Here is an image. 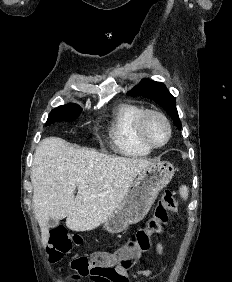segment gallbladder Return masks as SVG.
<instances>
[{
	"instance_id": "1",
	"label": "gallbladder",
	"mask_w": 232,
	"mask_h": 282,
	"mask_svg": "<svg viewBox=\"0 0 232 282\" xmlns=\"http://www.w3.org/2000/svg\"><path fill=\"white\" fill-rule=\"evenodd\" d=\"M59 224V220L58 219H55V218H50L47 222V225H48V228L49 229H52V228H55L57 227Z\"/></svg>"
}]
</instances>
